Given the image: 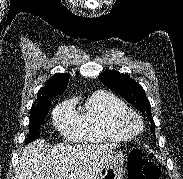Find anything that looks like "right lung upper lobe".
<instances>
[{
	"instance_id": "1",
	"label": "right lung upper lobe",
	"mask_w": 183,
	"mask_h": 179,
	"mask_svg": "<svg viewBox=\"0 0 183 179\" xmlns=\"http://www.w3.org/2000/svg\"><path fill=\"white\" fill-rule=\"evenodd\" d=\"M68 81L69 75L66 73H57L53 75L46 82V85L38 92L37 100L34 102L33 106L42 105L51 101V98L61 95L65 91Z\"/></svg>"
}]
</instances>
